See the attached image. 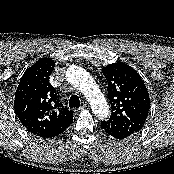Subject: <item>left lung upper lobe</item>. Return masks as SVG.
<instances>
[{"instance_id":"1","label":"left lung upper lobe","mask_w":174,"mask_h":174,"mask_svg":"<svg viewBox=\"0 0 174 174\" xmlns=\"http://www.w3.org/2000/svg\"><path fill=\"white\" fill-rule=\"evenodd\" d=\"M102 73L112 112L108 121L101 122L103 129L122 138L139 132L150 109L149 93L140 75L120 61L103 67Z\"/></svg>"}]
</instances>
